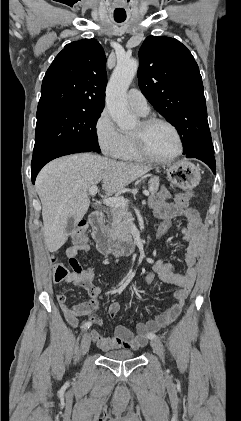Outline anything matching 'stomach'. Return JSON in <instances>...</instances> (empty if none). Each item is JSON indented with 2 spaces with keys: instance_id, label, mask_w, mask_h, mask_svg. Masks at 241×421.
Returning <instances> with one entry per match:
<instances>
[{
  "instance_id": "obj_1",
  "label": "stomach",
  "mask_w": 241,
  "mask_h": 421,
  "mask_svg": "<svg viewBox=\"0 0 241 421\" xmlns=\"http://www.w3.org/2000/svg\"><path fill=\"white\" fill-rule=\"evenodd\" d=\"M168 179L176 186L191 189L200 181V171L193 163L181 160L167 168Z\"/></svg>"
}]
</instances>
